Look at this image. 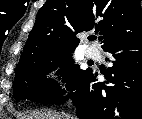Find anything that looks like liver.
Listing matches in <instances>:
<instances>
[{"instance_id": "liver-1", "label": "liver", "mask_w": 142, "mask_h": 119, "mask_svg": "<svg viewBox=\"0 0 142 119\" xmlns=\"http://www.w3.org/2000/svg\"><path fill=\"white\" fill-rule=\"evenodd\" d=\"M27 119H65V118L60 114L35 113L33 116H27Z\"/></svg>"}]
</instances>
